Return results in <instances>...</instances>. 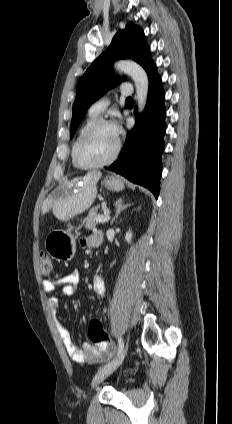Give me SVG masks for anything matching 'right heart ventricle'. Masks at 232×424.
I'll return each instance as SVG.
<instances>
[{
  "label": "right heart ventricle",
  "mask_w": 232,
  "mask_h": 424,
  "mask_svg": "<svg viewBox=\"0 0 232 424\" xmlns=\"http://www.w3.org/2000/svg\"><path fill=\"white\" fill-rule=\"evenodd\" d=\"M95 120H97V115H94V114L88 113L87 117L85 118V120L83 121V123L81 124V126H80V128H79V130H78V132H77V135H76L75 140H74L73 145H72V151H71L72 163H73V165H74L75 167H78V166L76 165V163H75V161H74V157H73V150H74V146H75V144H76V142H77L78 138L81 136V134H82V133H83V132L87 129V127H88L89 125H91V124H92Z\"/></svg>",
  "instance_id": "right-heart-ventricle-1"
}]
</instances>
